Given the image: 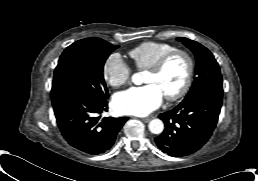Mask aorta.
I'll use <instances>...</instances> for the list:
<instances>
[{
  "label": "aorta",
  "mask_w": 258,
  "mask_h": 181,
  "mask_svg": "<svg viewBox=\"0 0 258 181\" xmlns=\"http://www.w3.org/2000/svg\"><path fill=\"white\" fill-rule=\"evenodd\" d=\"M132 82L136 85H140L143 82L142 74L135 73L132 75ZM148 128L153 134H160L163 132L164 124L160 119H153L150 121Z\"/></svg>",
  "instance_id": "obj_1"
}]
</instances>
